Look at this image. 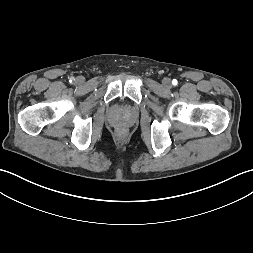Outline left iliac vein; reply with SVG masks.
Here are the masks:
<instances>
[{
  "label": "left iliac vein",
  "mask_w": 253,
  "mask_h": 253,
  "mask_svg": "<svg viewBox=\"0 0 253 253\" xmlns=\"http://www.w3.org/2000/svg\"><path fill=\"white\" fill-rule=\"evenodd\" d=\"M162 83L166 88H170L172 86L171 80L169 78H164Z\"/></svg>",
  "instance_id": "left-iliac-vein-1"
}]
</instances>
